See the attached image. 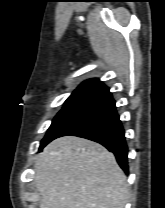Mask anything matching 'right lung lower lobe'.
Instances as JSON below:
<instances>
[{"instance_id":"obj_1","label":"right lung lower lobe","mask_w":165,"mask_h":208,"mask_svg":"<svg viewBox=\"0 0 165 208\" xmlns=\"http://www.w3.org/2000/svg\"><path fill=\"white\" fill-rule=\"evenodd\" d=\"M67 135L86 138L102 144L114 153L120 167L125 173H128V148L113 98L93 107L58 137Z\"/></svg>"}]
</instances>
